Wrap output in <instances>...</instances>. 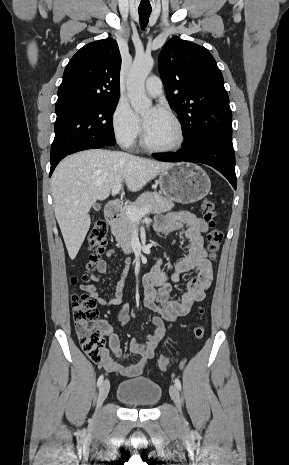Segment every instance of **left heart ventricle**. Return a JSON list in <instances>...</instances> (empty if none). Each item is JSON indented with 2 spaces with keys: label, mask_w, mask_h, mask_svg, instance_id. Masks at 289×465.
<instances>
[{
  "label": "left heart ventricle",
  "mask_w": 289,
  "mask_h": 465,
  "mask_svg": "<svg viewBox=\"0 0 289 465\" xmlns=\"http://www.w3.org/2000/svg\"><path fill=\"white\" fill-rule=\"evenodd\" d=\"M151 114V109L143 112L144 121ZM147 139L154 146L168 147L177 142L178 133L173 121L162 111H159L145 126Z\"/></svg>",
  "instance_id": "left-heart-ventricle-1"
}]
</instances>
